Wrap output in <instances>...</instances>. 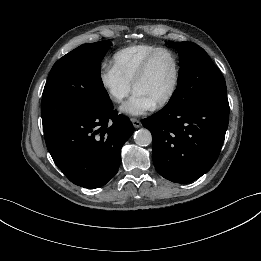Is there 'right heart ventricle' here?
Here are the masks:
<instances>
[{
  "label": "right heart ventricle",
  "instance_id": "1",
  "mask_svg": "<svg viewBox=\"0 0 261 261\" xmlns=\"http://www.w3.org/2000/svg\"><path fill=\"white\" fill-rule=\"evenodd\" d=\"M157 48L150 44H136L119 49L111 58V67L132 84L144 59Z\"/></svg>",
  "mask_w": 261,
  "mask_h": 261
}]
</instances>
